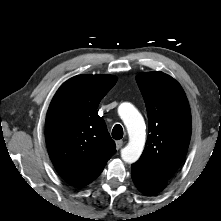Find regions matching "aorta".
<instances>
[{
  "instance_id": "1",
  "label": "aorta",
  "mask_w": 221,
  "mask_h": 221,
  "mask_svg": "<svg viewBox=\"0 0 221 221\" xmlns=\"http://www.w3.org/2000/svg\"><path fill=\"white\" fill-rule=\"evenodd\" d=\"M119 114L129 134V143L121 150V157L126 163H134L141 156L145 140V123L142 115L129 103H122Z\"/></svg>"
}]
</instances>
